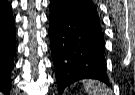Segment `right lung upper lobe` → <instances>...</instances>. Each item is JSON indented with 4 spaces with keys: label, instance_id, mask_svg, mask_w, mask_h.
Masks as SVG:
<instances>
[{
    "label": "right lung upper lobe",
    "instance_id": "1",
    "mask_svg": "<svg viewBox=\"0 0 135 95\" xmlns=\"http://www.w3.org/2000/svg\"><path fill=\"white\" fill-rule=\"evenodd\" d=\"M11 4L8 3L5 0H0V16H6V15H10L11 13Z\"/></svg>",
    "mask_w": 135,
    "mask_h": 95
}]
</instances>
